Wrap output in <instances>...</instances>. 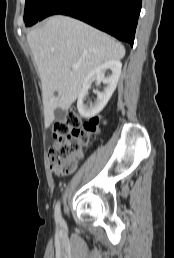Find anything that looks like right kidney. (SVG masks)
Returning <instances> with one entry per match:
<instances>
[{"label": "right kidney", "instance_id": "1", "mask_svg": "<svg viewBox=\"0 0 174 258\" xmlns=\"http://www.w3.org/2000/svg\"><path fill=\"white\" fill-rule=\"evenodd\" d=\"M122 64L120 60H110L93 69L84 79L82 89L78 96L77 108L81 116L91 118L101 112L114 93L120 74ZM111 74L105 77V72ZM98 80L105 84L103 92H97V100L90 106L84 105V100L93 81Z\"/></svg>", "mask_w": 174, "mask_h": 258}]
</instances>
